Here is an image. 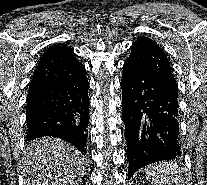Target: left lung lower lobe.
I'll list each match as a JSON object with an SVG mask.
<instances>
[{"instance_id": "1", "label": "left lung lower lobe", "mask_w": 207, "mask_h": 185, "mask_svg": "<svg viewBox=\"0 0 207 185\" xmlns=\"http://www.w3.org/2000/svg\"><path fill=\"white\" fill-rule=\"evenodd\" d=\"M121 88L128 176L148 164L180 156L177 91L126 64Z\"/></svg>"}]
</instances>
